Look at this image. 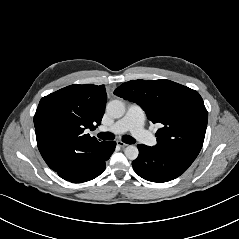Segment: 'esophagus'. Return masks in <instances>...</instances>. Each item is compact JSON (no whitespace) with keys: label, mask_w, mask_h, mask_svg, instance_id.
<instances>
[{"label":"esophagus","mask_w":239,"mask_h":239,"mask_svg":"<svg viewBox=\"0 0 239 239\" xmlns=\"http://www.w3.org/2000/svg\"><path fill=\"white\" fill-rule=\"evenodd\" d=\"M117 146H120V147L124 148V147H127L128 144H126V143H124L122 141H117Z\"/></svg>","instance_id":"obj_1"}]
</instances>
